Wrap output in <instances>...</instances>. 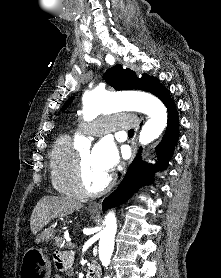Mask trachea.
<instances>
[{"instance_id":"obj_1","label":"trachea","mask_w":221,"mask_h":278,"mask_svg":"<svg viewBox=\"0 0 221 278\" xmlns=\"http://www.w3.org/2000/svg\"><path fill=\"white\" fill-rule=\"evenodd\" d=\"M128 133H129V134H134V130H133V129H130V130L128 131Z\"/></svg>"}]
</instances>
